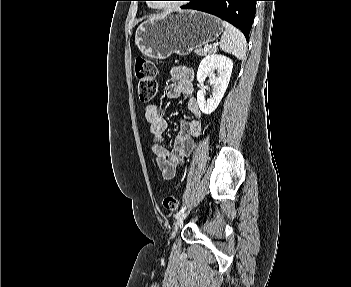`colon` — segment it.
Here are the masks:
<instances>
[{
    "label": "colon",
    "instance_id": "5ec220e1",
    "mask_svg": "<svg viewBox=\"0 0 351 287\" xmlns=\"http://www.w3.org/2000/svg\"><path fill=\"white\" fill-rule=\"evenodd\" d=\"M135 74L138 79L139 99L142 102L151 101L157 92L155 64L143 56H138L135 59ZM162 204L164 209L170 212H175L179 207L178 199L174 195L165 196Z\"/></svg>",
    "mask_w": 351,
    "mask_h": 287
}]
</instances>
